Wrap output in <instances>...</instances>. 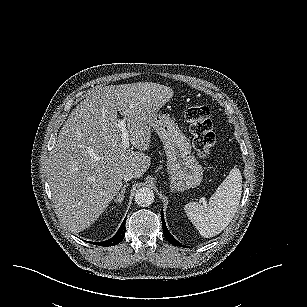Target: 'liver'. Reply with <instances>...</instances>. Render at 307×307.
I'll use <instances>...</instances> for the list:
<instances>
[{
  "label": "liver",
  "mask_w": 307,
  "mask_h": 307,
  "mask_svg": "<svg viewBox=\"0 0 307 307\" xmlns=\"http://www.w3.org/2000/svg\"><path fill=\"white\" fill-rule=\"evenodd\" d=\"M170 87L152 82L109 85L89 92L69 114L51 151L48 183L55 212L73 233L90 227L119 194L123 176L140 178L151 158L154 117L172 97ZM129 141L124 149L117 112Z\"/></svg>",
  "instance_id": "obj_1"
}]
</instances>
